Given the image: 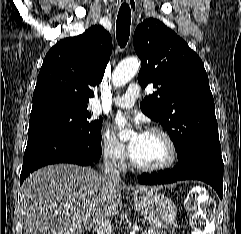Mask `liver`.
I'll return each mask as SVG.
<instances>
[{
	"mask_svg": "<svg viewBox=\"0 0 241 234\" xmlns=\"http://www.w3.org/2000/svg\"><path fill=\"white\" fill-rule=\"evenodd\" d=\"M145 193L152 187H127L90 167H43L22 185L24 234H82L100 218L122 209V191Z\"/></svg>",
	"mask_w": 241,
	"mask_h": 234,
	"instance_id": "liver-1",
	"label": "liver"
}]
</instances>
